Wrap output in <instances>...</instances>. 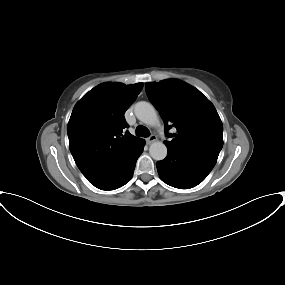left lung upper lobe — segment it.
<instances>
[{
	"instance_id": "5c2ea615",
	"label": "left lung upper lobe",
	"mask_w": 285,
	"mask_h": 285,
	"mask_svg": "<svg viewBox=\"0 0 285 285\" xmlns=\"http://www.w3.org/2000/svg\"><path fill=\"white\" fill-rule=\"evenodd\" d=\"M149 100L159 111L168 149L216 163L223 146V125L213 104L196 88L180 80L146 84ZM175 134H168L171 127Z\"/></svg>"
}]
</instances>
